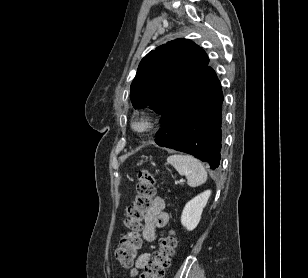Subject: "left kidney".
<instances>
[{
	"instance_id": "obj_1",
	"label": "left kidney",
	"mask_w": 308,
	"mask_h": 278,
	"mask_svg": "<svg viewBox=\"0 0 308 278\" xmlns=\"http://www.w3.org/2000/svg\"><path fill=\"white\" fill-rule=\"evenodd\" d=\"M210 195L211 191L207 190L186 203L181 215V223L187 230L192 231L199 224Z\"/></svg>"
}]
</instances>
